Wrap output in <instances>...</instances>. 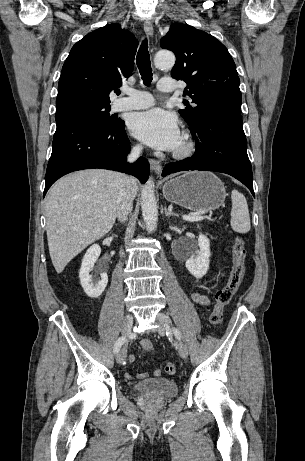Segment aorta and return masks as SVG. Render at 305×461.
<instances>
[{"label":"aorta","mask_w":305,"mask_h":461,"mask_svg":"<svg viewBox=\"0 0 305 461\" xmlns=\"http://www.w3.org/2000/svg\"><path fill=\"white\" fill-rule=\"evenodd\" d=\"M154 62L158 68H171L175 64V56L169 51H160L155 55ZM141 209L147 231H154L158 220V209L152 178H149L141 192Z\"/></svg>","instance_id":"762f6f07"}]
</instances>
